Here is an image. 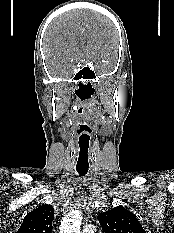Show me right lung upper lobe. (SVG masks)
I'll list each match as a JSON object with an SVG mask.
<instances>
[{
	"label": "right lung upper lobe",
	"instance_id": "1",
	"mask_svg": "<svg viewBox=\"0 0 174 233\" xmlns=\"http://www.w3.org/2000/svg\"><path fill=\"white\" fill-rule=\"evenodd\" d=\"M53 220L52 205L43 204L26 215L16 233H51Z\"/></svg>",
	"mask_w": 174,
	"mask_h": 233
}]
</instances>
